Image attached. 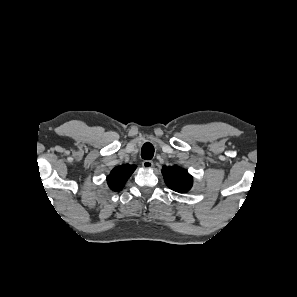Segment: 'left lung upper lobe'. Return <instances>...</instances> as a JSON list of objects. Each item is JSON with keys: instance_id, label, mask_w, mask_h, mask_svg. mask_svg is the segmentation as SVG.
<instances>
[{"instance_id": "5c2ea615", "label": "left lung upper lobe", "mask_w": 297, "mask_h": 297, "mask_svg": "<svg viewBox=\"0 0 297 297\" xmlns=\"http://www.w3.org/2000/svg\"><path fill=\"white\" fill-rule=\"evenodd\" d=\"M162 174L167 186L179 193H185L192 187V176L187 170L177 166L163 167Z\"/></svg>"}]
</instances>
